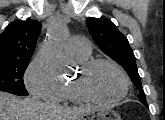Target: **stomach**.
I'll use <instances>...</instances> for the list:
<instances>
[{
    "mask_svg": "<svg viewBox=\"0 0 165 120\" xmlns=\"http://www.w3.org/2000/svg\"><path fill=\"white\" fill-rule=\"evenodd\" d=\"M121 120L120 115L113 110H90L81 120Z\"/></svg>",
    "mask_w": 165,
    "mask_h": 120,
    "instance_id": "stomach-1",
    "label": "stomach"
}]
</instances>
